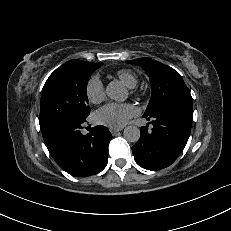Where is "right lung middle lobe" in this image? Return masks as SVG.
<instances>
[{
    "instance_id": "obj_1",
    "label": "right lung middle lobe",
    "mask_w": 231,
    "mask_h": 231,
    "mask_svg": "<svg viewBox=\"0 0 231 231\" xmlns=\"http://www.w3.org/2000/svg\"><path fill=\"white\" fill-rule=\"evenodd\" d=\"M102 64L70 60L49 76L41 94L39 124L42 134L63 121L88 117L87 82Z\"/></svg>"
}]
</instances>
